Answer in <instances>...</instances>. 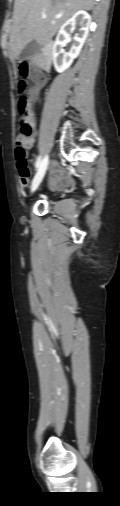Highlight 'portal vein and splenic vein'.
Here are the masks:
<instances>
[{"mask_svg": "<svg viewBox=\"0 0 120 506\" xmlns=\"http://www.w3.org/2000/svg\"><path fill=\"white\" fill-rule=\"evenodd\" d=\"M41 17H42V18H46V14H42V15H41Z\"/></svg>", "mask_w": 120, "mask_h": 506, "instance_id": "obj_1", "label": "portal vein and splenic vein"}]
</instances>
